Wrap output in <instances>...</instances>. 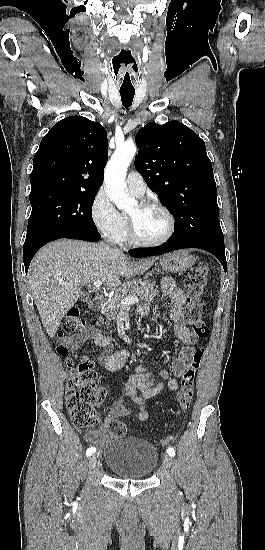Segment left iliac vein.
<instances>
[{
    "mask_svg": "<svg viewBox=\"0 0 265 550\" xmlns=\"http://www.w3.org/2000/svg\"><path fill=\"white\" fill-rule=\"evenodd\" d=\"M163 466L166 469H169L172 466V459L168 454L164 455Z\"/></svg>",
    "mask_w": 265,
    "mask_h": 550,
    "instance_id": "1",
    "label": "left iliac vein"
}]
</instances>
